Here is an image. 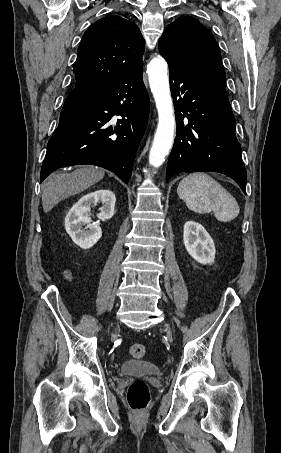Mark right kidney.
Instances as JSON below:
<instances>
[{
  "mask_svg": "<svg viewBox=\"0 0 281 453\" xmlns=\"http://www.w3.org/2000/svg\"><path fill=\"white\" fill-rule=\"evenodd\" d=\"M102 202L98 218H111L115 210L116 196L112 190H94L81 196L65 216V229L72 241L81 249H90L102 237L99 222H92L89 218L90 206ZM86 224L85 229H83Z\"/></svg>",
  "mask_w": 281,
  "mask_h": 453,
  "instance_id": "obj_1",
  "label": "right kidney"
}]
</instances>
